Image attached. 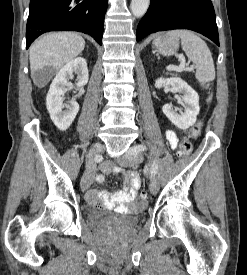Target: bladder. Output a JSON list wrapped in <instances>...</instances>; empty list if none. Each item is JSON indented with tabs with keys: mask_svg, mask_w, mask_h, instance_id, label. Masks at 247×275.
<instances>
[{
	"mask_svg": "<svg viewBox=\"0 0 247 275\" xmlns=\"http://www.w3.org/2000/svg\"><path fill=\"white\" fill-rule=\"evenodd\" d=\"M88 220L97 226L118 225L128 228L137 224V216L134 213L125 214L122 219H117L112 212L105 209L90 210Z\"/></svg>",
	"mask_w": 247,
	"mask_h": 275,
	"instance_id": "obj_1",
	"label": "bladder"
}]
</instances>
